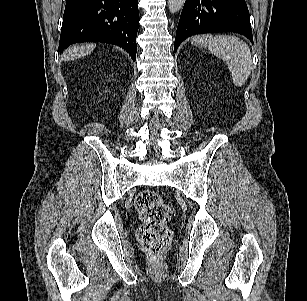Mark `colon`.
Segmentation results:
<instances>
[{"mask_svg":"<svg viewBox=\"0 0 307 301\" xmlns=\"http://www.w3.org/2000/svg\"><path fill=\"white\" fill-rule=\"evenodd\" d=\"M135 208L142 221L136 230L140 244L152 255L162 253L172 236L168 225L172 216L171 208L156 191L148 189L137 194Z\"/></svg>","mask_w":307,"mask_h":301,"instance_id":"1","label":"colon"}]
</instances>
